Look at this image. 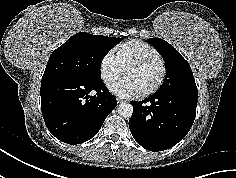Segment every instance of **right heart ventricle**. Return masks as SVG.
<instances>
[{"label":"right heart ventricle","instance_id":"obj_1","mask_svg":"<svg viewBox=\"0 0 236 178\" xmlns=\"http://www.w3.org/2000/svg\"><path fill=\"white\" fill-rule=\"evenodd\" d=\"M113 53L123 69L132 61L159 57L156 49L140 40L126 41L115 48Z\"/></svg>","mask_w":236,"mask_h":178}]
</instances>
